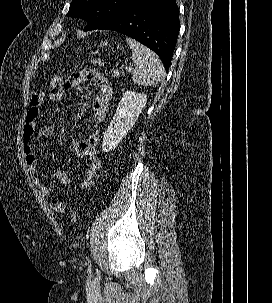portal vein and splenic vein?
<instances>
[{
	"label": "portal vein and splenic vein",
	"mask_w": 272,
	"mask_h": 303,
	"mask_svg": "<svg viewBox=\"0 0 272 303\" xmlns=\"http://www.w3.org/2000/svg\"><path fill=\"white\" fill-rule=\"evenodd\" d=\"M126 70L130 72L132 71V67H126Z\"/></svg>",
	"instance_id": "portal-vein-and-splenic-vein-1"
}]
</instances>
